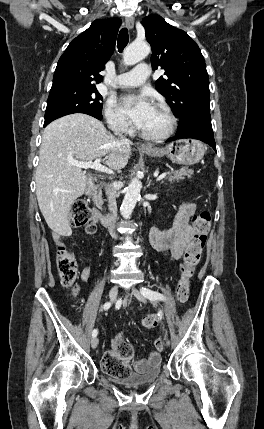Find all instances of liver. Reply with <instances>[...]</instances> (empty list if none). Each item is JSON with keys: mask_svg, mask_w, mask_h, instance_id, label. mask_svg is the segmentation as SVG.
<instances>
[{"mask_svg": "<svg viewBox=\"0 0 264 429\" xmlns=\"http://www.w3.org/2000/svg\"><path fill=\"white\" fill-rule=\"evenodd\" d=\"M130 155V143L117 139L92 116L75 113L50 123L43 131L35 178L38 205L49 228L57 235L72 233L68 214L72 203L84 194L87 177L70 161L105 156L104 163L119 170Z\"/></svg>", "mask_w": 264, "mask_h": 429, "instance_id": "1", "label": "liver"}]
</instances>
